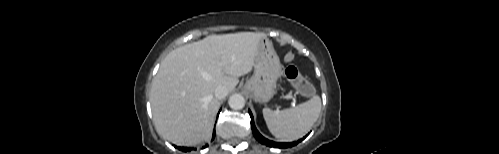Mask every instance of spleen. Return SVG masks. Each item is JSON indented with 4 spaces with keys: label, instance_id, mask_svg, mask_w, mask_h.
<instances>
[{
    "label": "spleen",
    "instance_id": "1",
    "mask_svg": "<svg viewBox=\"0 0 499 154\" xmlns=\"http://www.w3.org/2000/svg\"><path fill=\"white\" fill-rule=\"evenodd\" d=\"M262 112L269 131L276 138L290 142L310 131L320 115L321 99L315 95L295 107L276 111L265 107Z\"/></svg>",
    "mask_w": 499,
    "mask_h": 154
}]
</instances>
